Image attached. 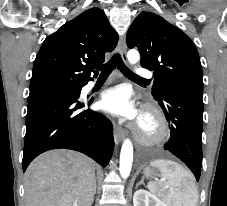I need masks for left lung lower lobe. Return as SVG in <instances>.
Here are the masks:
<instances>
[{"instance_id": "0a47b994", "label": "left lung lower lobe", "mask_w": 227, "mask_h": 206, "mask_svg": "<svg viewBox=\"0 0 227 206\" xmlns=\"http://www.w3.org/2000/svg\"><path fill=\"white\" fill-rule=\"evenodd\" d=\"M169 122L171 136L164 150L181 159L198 181L202 164V95L187 91H171L156 99Z\"/></svg>"}]
</instances>
